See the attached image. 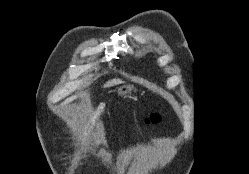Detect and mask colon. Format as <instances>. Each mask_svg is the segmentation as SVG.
<instances>
[{
    "label": "colon",
    "mask_w": 249,
    "mask_h": 174,
    "mask_svg": "<svg viewBox=\"0 0 249 174\" xmlns=\"http://www.w3.org/2000/svg\"><path fill=\"white\" fill-rule=\"evenodd\" d=\"M162 116L159 113H152L145 118V122L149 124H157L161 121Z\"/></svg>",
    "instance_id": "5ec220e1"
}]
</instances>
